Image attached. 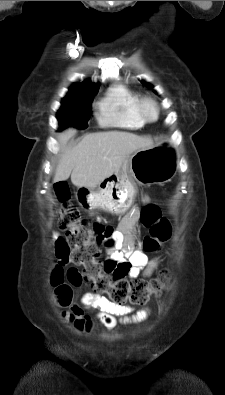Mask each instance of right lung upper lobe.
Returning a JSON list of instances; mask_svg holds the SVG:
<instances>
[{
  "label": "right lung upper lobe",
  "instance_id": "cb5924a9",
  "mask_svg": "<svg viewBox=\"0 0 225 395\" xmlns=\"http://www.w3.org/2000/svg\"><path fill=\"white\" fill-rule=\"evenodd\" d=\"M99 83L89 81L74 83L68 94L92 95L98 91Z\"/></svg>",
  "mask_w": 225,
  "mask_h": 395
}]
</instances>
